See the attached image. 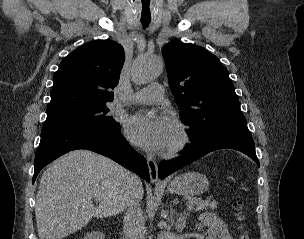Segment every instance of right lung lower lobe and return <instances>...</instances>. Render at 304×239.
<instances>
[{
	"instance_id": "98d812e1",
	"label": "right lung lower lobe",
	"mask_w": 304,
	"mask_h": 239,
	"mask_svg": "<svg viewBox=\"0 0 304 239\" xmlns=\"http://www.w3.org/2000/svg\"><path fill=\"white\" fill-rule=\"evenodd\" d=\"M75 149H87L102 154L135 172L147 182L150 181L145 158L129 145L120 134V130L110 133L88 129H65L41 132L32 183L43 167Z\"/></svg>"
}]
</instances>
